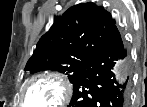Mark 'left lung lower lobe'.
<instances>
[{"mask_svg":"<svg viewBox=\"0 0 147 107\" xmlns=\"http://www.w3.org/2000/svg\"><path fill=\"white\" fill-rule=\"evenodd\" d=\"M126 57V49L115 25L74 80L68 107H127L129 74L117 79L112 71L115 61L121 62Z\"/></svg>","mask_w":147,"mask_h":107,"instance_id":"left-lung-lower-lobe-1","label":"left lung lower lobe"}]
</instances>
